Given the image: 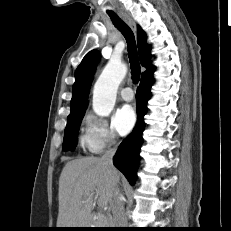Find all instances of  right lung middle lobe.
<instances>
[{
  "label": "right lung middle lobe",
  "mask_w": 231,
  "mask_h": 231,
  "mask_svg": "<svg viewBox=\"0 0 231 231\" xmlns=\"http://www.w3.org/2000/svg\"><path fill=\"white\" fill-rule=\"evenodd\" d=\"M84 113L69 116L63 141V150H74L77 145L78 130L83 119Z\"/></svg>",
  "instance_id": "dd1d6c3e"
}]
</instances>
